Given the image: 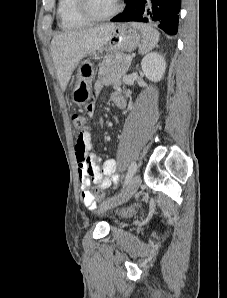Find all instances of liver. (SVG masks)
Listing matches in <instances>:
<instances>
[{"label":"liver","instance_id":"6515ba94","mask_svg":"<svg viewBox=\"0 0 227 298\" xmlns=\"http://www.w3.org/2000/svg\"><path fill=\"white\" fill-rule=\"evenodd\" d=\"M115 24L69 31L58 34L51 41V55L62 91H65L74 69L88 55L107 44Z\"/></svg>","mask_w":227,"mask_h":298}]
</instances>
